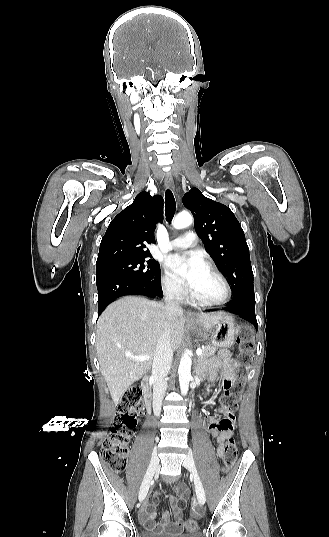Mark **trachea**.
I'll list each match as a JSON object with an SVG mask.
<instances>
[{
	"instance_id": "1",
	"label": "trachea",
	"mask_w": 329,
	"mask_h": 537,
	"mask_svg": "<svg viewBox=\"0 0 329 537\" xmlns=\"http://www.w3.org/2000/svg\"><path fill=\"white\" fill-rule=\"evenodd\" d=\"M175 210H176L175 198H174L172 191L168 189L165 192V216H166L167 222L172 221V218L175 214Z\"/></svg>"
}]
</instances>
